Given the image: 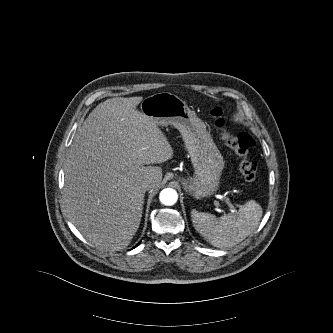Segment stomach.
I'll use <instances>...</instances> for the list:
<instances>
[{
    "mask_svg": "<svg viewBox=\"0 0 333 333\" xmlns=\"http://www.w3.org/2000/svg\"><path fill=\"white\" fill-rule=\"evenodd\" d=\"M141 112L157 125L179 130L195 169L194 177L182 178L186 192L195 198L213 195L219 188L224 160L201 120L175 94L160 92L144 98Z\"/></svg>",
    "mask_w": 333,
    "mask_h": 333,
    "instance_id": "obj_1",
    "label": "stomach"
}]
</instances>
